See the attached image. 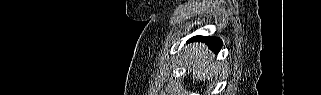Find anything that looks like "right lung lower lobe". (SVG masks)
<instances>
[{
    "label": "right lung lower lobe",
    "mask_w": 321,
    "mask_h": 95,
    "mask_svg": "<svg viewBox=\"0 0 321 95\" xmlns=\"http://www.w3.org/2000/svg\"><path fill=\"white\" fill-rule=\"evenodd\" d=\"M191 41L204 42L215 53L219 52L222 47V41L216 37L195 36V37L191 38L188 42H191Z\"/></svg>",
    "instance_id": "right-lung-lower-lobe-1"
}]
</instances>
